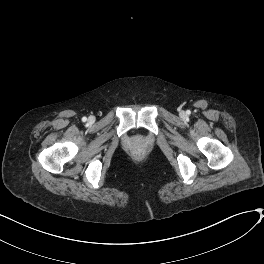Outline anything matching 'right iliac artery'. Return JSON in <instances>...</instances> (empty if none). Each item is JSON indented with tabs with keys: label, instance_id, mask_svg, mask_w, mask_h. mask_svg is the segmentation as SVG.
<instances>
[{
	"label": "right iliac artery",
	"instance_id": "1",
	"mask_svg": "<svg viewBox=\"0 0 264 264\" xmlns=\"http://www.w3.org/2000/svg\"><path fill=\"white\" fill-rule=\"evenodd\" d=\"M86 120H87V118H86V117H83V118H82V121H83V122H85Z\"/></svg>",
	"mask_w": 264,
	"mask_h": 264
}]
</instances>
